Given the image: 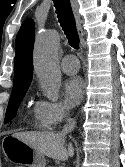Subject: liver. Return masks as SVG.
<instances>
[{"instance_id":"obj_1","label":"liver","mask_w":125,"mask_h":167,"mask_svg":"<svg viewBox=\"0 0 125 167\" xmlns=\"http://www.w3.org/2000/svg\"><path fill=\"white\" fill-rule=\"evenodd\" d=\"M13 136L55 160L64 161L74 154L72 144L65 148V135L62 133L18 132Z\"/></svg>"}]
</instances>
